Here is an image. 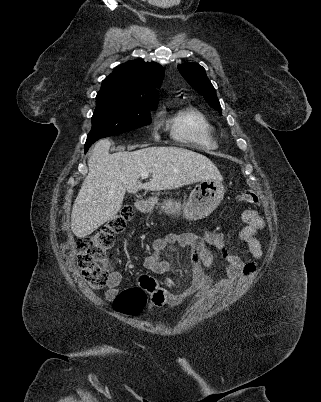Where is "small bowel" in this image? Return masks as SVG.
Listing matches in <instances>:
<instances>
[{
  "mask_svg": "<svg viewBox=\"0 0 321 402\" xmlns=\"http://www.w3.org/2000/svg\"><path fill=\"white\" fill-rule=\"evenodd\" d=\"M243 227L238 233L239 240L246 245L248 255L252 258L262 256L261 245L257 239L258 231L264 226L263 219L256 211L245 210L239 217ZM213 245L225 262L226 276L217 284L224 287L238 281L240 278L252 277L257 269L254 262L244 261L238 254L231 251L221 233H207L200 235L191 232L171 233L164 238L157 239L153 244V253L144 259V267L151 273L162 274L173 268L170 260L163 256L175 246L188 247L191 250L192 285L185 291L175 294L160 286L147 276L140 278L141 287L149 294L148 310L155 307H175L183 304L194 295L207 293L215 284L210 275L204 274V269L212 265L213 258L207 245ZM122 281L120 272L110 267L108 289L106 298L112 300L119 293V285Z\"/></svg>",
  "mask_w": 321,
  "mask_h": 402,
  "instance_id": "small-bowel-1",
  "label": "small bowel"
}]
</instances>
